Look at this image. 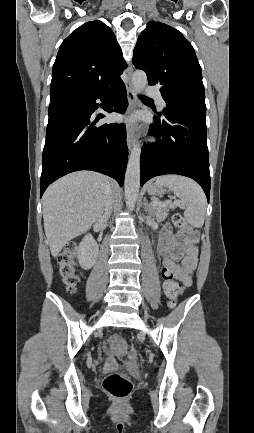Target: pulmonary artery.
<instances>
[{"label": "pulmonary artery", "mask_w": 254, "mask_h": 433, "mask_svg": "<svg viewBox=\"0 0 254 433\" xmlns=\"http://www.w3.org/2000/svg\"><path fill=\"white\" fill-rule=\"evenodd\" d=\"M147 93H148L150 96L154 97V98L158 101L159 107H160L161 109L165 108V105H166V104H165V101H164L162 95L160 94V91H159V88H158V87H151V88H148V89H147Z\"/></svg>", "instance_id": "1"}]
</instances>
